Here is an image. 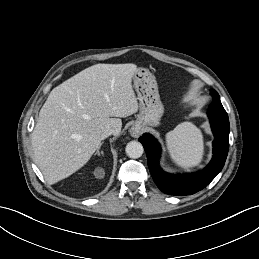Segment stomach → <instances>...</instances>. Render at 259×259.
Masks as SVG:
<instances>
[{
    "instance_id": "obj_1",
    "label": "stomach",
    "mask_w": 259,
    "mask_h": 259,
    "mask_svg": "<svg viewBox=\"0 0 259 259\" xmlns=\"http://www.w3.org/2000/svg\"><path fill=\"white\" fill-rule=\"evenodd\" d=\"M132 79L139 101V115L134 127L152 129L159 126L164 113V106L160 100L155 77L148 70L137 69Z\"/></svg>"
}]
</instances>
